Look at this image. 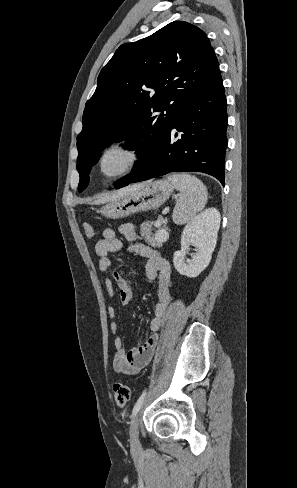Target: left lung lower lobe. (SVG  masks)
Masks as SVG:
<instances>
[{"instance_id":"obj_1","label":"left lung lower lobe","mask_w":297,"mask_h":488,"mask_svg":"<svg viewBox=\"0 0 297 488\" xmlns=\"http://www.w3.org/2000/svg\"><path fill=\"white\" fill-rule=\"evenodd\" d=\"M226 105L223 80L219 75L203 94L182 111L153 158L140 172L129 177L123 186L169 172H203L214 176L224 186L228 125Z\"/></svg>"}]
</instances>
